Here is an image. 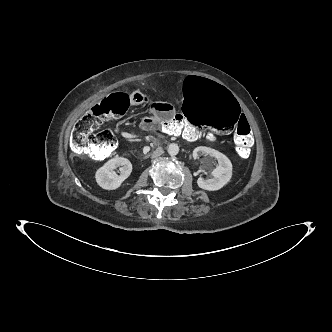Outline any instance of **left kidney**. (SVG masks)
Returning <instances> with one entry per match:
<instances>
[{
	"mask_svg": "<svg viewBox=\"0 0 332 332\" xmlns=\"http://www.w3.org/2000/svg\"><path fill=\"white\" fill-rule=\"evenodd\" d=\"M199 156H205L203 160L204 163H210L213 158L218 161V166L211 172V175L213 176L212 178L206 180L202 177L198 178L197 185L201 189L216 191L230 181L232 177V163L227 156L215 149L205 146H200L194 149V159L199 158Z\"/></svg>",
	"mask_w": 332,
	"mask_h": 332,
	"instance_id": "left-kidney-1",
	"label": "left kidney"
}]
</instances>
